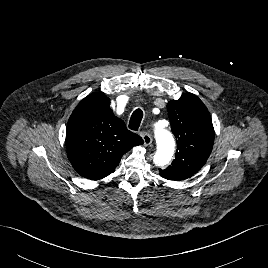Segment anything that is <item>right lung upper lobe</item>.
<instances>
[{
    "label": "right lung upper lobe",
    "instance_id": "right-lung-upper-lobe-1",
    "mask_svg": "<svg viewBox=\"0 0 268 268\" xmlns=\"http://www.w3.org/2000/svg\"><path fill=\"white\" fill-rule=\"evenodd\" d=\"M142 138L129 131L103 93H92L74 109L66 128L68 158L82 177L98 180L115 171L121 157Z\"/></svg>",
    "mask_w": 268,
    "mask_h": 268
}]
</instances>
